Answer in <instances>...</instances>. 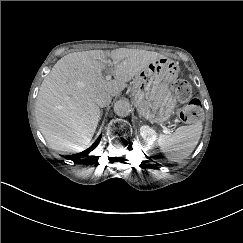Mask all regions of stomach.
<instances>
[{
    "mask_svg": "<svg viewBox=\"0 0 243 243\" xmlns=\"http://www.w3.org/2000/svg\"><path fill=\"white\" fill-rule=\"evenodd\" d=\"M178 71L173 61L160 57L134 77V103L139 113L151 123H164L174 114L176 99L169 85L176 79Z\"/></svg>",
    "mask_w": 243,
    "mask_h": 243,
    "instance_id": "stomach-1",
    "label": "stomach"
}]
</instances>
